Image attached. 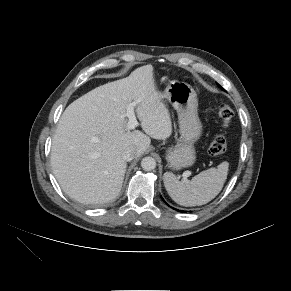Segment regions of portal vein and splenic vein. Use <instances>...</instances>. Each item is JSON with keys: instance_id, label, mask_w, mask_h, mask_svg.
Masks as SVG:
<instances>
[{"instance_id": "1", "label": "portal vein and splenic vein", "mask_w": 291, "mask_h": 291, "mask_svg": "<svg viewBox=\"0 0 291 291\" xmlns=\"http://www.w3.org/2000/svg\"><path fill=\"white\" fill-rule=\"evenodd\" d=\"M134 106H135V103H131L127 107L126 116L129 119V121L127 123L128 130H132V129H134L135 127H137L139 125V123H138V121L136 119L135 113H134ZM190 174H191L190 172L183 173V179H184V181H186V182L188 181L187 180V177H189Z\"/></svg>"}]
</instances>
